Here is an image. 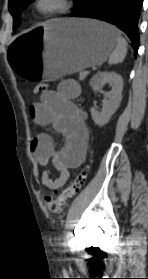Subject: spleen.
<instances>
[{
    "mask_svg": "<svg viewBox=\"0 0 148 279\" xmlns=\"http://www.w3.org/2000/svg\"><path fill=\"white\" fill-rule=\"evenodd\" d=\"M127 46V41L121 35H118L116 48L109 57V64L122 62L127 54Z\"/></svg>",
    "mask_w": 148,
    "mask_h": 279,
    "instance_id": "3e777b00",
    "label": "spleen"
}]
</instances>
